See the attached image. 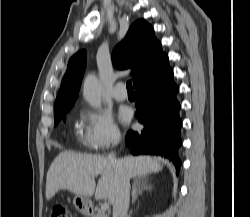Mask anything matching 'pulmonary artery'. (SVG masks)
Segmentation results:
<instances>
[{"label":"pulmonary artery","instance_id":"1","mask_svg":"<svg viewBox=\"0 0 250 217\" xmlns=\"http://www.w3.org/2000/svg\"><path fill=\"white\" fill-rule=\"evenodd\" d=\"M112 97L117 101H125L127 99V92L125 90V86L122 82L117 83L112 91Z\"/></svg>","mask_w":250,"mask_h":217}]
</instances>
